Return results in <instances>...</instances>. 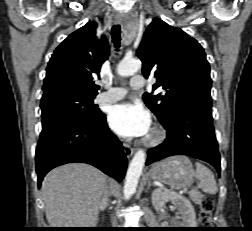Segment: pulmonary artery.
<instances>
[{"mask_svg": "<svg viewBox=\"0 0 252 231\" xmlns=\"http://www.w3.org/2000/svg\"><path fill=\"white\" fill-rule=\"evenodd\" d=\"M130 86L133 89L143 88L146 82L142 75H135L130 80ZM127 94V89L122 87H112L107 92L100 93L96 96L95 102L98 104H108L122 99Z\"/></svg>", "mask_w": 252, "mask_h": 231, "instance_id": "obj_1", "label": "pulmonary artery"}]
</instances>
